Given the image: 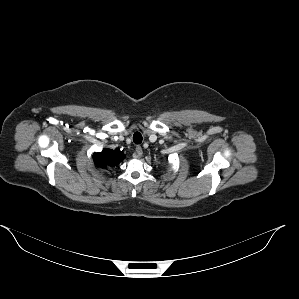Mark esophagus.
<instances>
[{
  "label": "esophagus",
  "instance_id": "obj_1",
  "mask_svg": "<svg viewBox=\"0 0 299 299\" xmlns=\"http://www.w3.org/2000/svg\"><path fill=\"white\" fill-rule=\"evenodd\" d=\"M143 154V150L141 146H137L135 149L134 157L135 158H140Z\"/></svg>",
  "mask_w": 299,
  "mask_h": 299
}]
</instances>
